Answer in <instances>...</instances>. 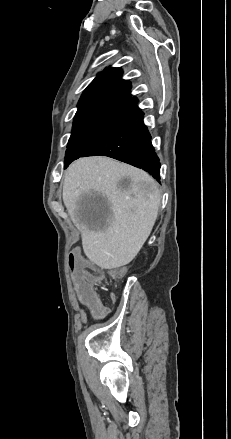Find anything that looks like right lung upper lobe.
I'll use <instances>...</instances> for the list:
<instances>
[{
	"instance_id": "cb5924a9",
	"label": "right lung upper lobe",
	"mask_w": 231,
	"mask_h": 439,
	"mask_svg": "<svg viewBox=\"0 0 231 439\" xmlns=\"http://www.w3.org/2000/svg\"><path fill=\"white\" fill-rule=\"evenodd\" d=\"M130 90L131 83L122 79L120 68H107L81 95L75 117L105 116L126 120L140 111Z\"/></svg>"
}]
</instances>
